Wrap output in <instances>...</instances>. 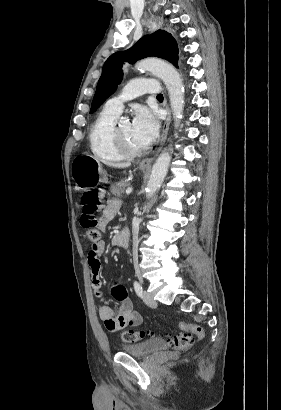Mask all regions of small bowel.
Masks as SVG:
<instances>
[{
  "instance_id": "c3829d8e",
  "label": "small bowel",
  "mask_w": 281,
  "mask_h": 410,
  "mask_svg": "<svg viewBox=\"0 0 281 410\" xmlns=\"http://www.w3.org/2000/svg\"><path fill=\"white\" fill-rule=\"evenodd\" d=\"M120 202L112 199L102 206V214L98 220V229L104 231L107 223L119 211ZM105 250V243L99 241L91 245L87 259L91 273V283L95 295L104 298L102 291L101 262L100 256ZM111 296L120 302L119 312L116 313L111 307L103 305L99 308V317L111 332L118 331L128 325H137L142 322L141 315L133 309L126 287L119 281L114 282L110 287Z\"/></svg>"
}]
</instances>
